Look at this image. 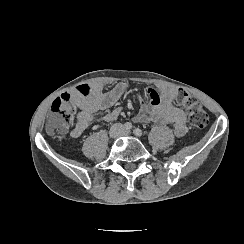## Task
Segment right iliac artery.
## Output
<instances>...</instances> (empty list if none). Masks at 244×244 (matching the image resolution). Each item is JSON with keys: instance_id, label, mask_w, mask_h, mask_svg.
<instances>
[{"instance_id": "right-iliac-artery-1", "label": "right iliac artery", "mask_w": 244, "mask_h": 244, "mask_svg": "<svg viewBox=\"0 0 244 244\" xmlns=\"http://www.w3.org/2000/svg\"><path fill=\"white\" fill-rule=\"evenodd\" d=\"M124 128H125L126 130H130V129H132V124H131L130 122H126V123L124 124Z\"/></svg>"}]
</instances>
